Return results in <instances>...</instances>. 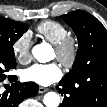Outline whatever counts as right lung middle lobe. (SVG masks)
<instances>
[{"label":"right lung middle lobe","instance_id":"right-lung-middle-lobe-1","mask_svg":"<svg viewBox=\"0 0 107 107\" xmlns=\"http://www.w3.org/2000/svg\"><path fill=\"white\" fill-rule=\"evenodd\" d=\"M2 19L4 22L5 36L0 38V81L6 79V72L16 67L13 44L29 27L22 22H16L6 18Z\"/></svg>","mask_w":107,"mask_h":107}]
</instances>
